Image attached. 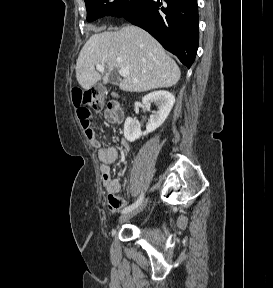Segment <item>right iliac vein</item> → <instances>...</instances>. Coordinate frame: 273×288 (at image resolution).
Masks as SVG:
<instances>
[{
    "label": "right iliac vein",
    "instance_id": "63e3f726",
    "mask_svg": "<svg viewBox=\"0 0 273 288\" xmlns=\"http://www.w3.org/2000/svg\"><path fill=\"white\" fill-rule=\"evenodd\" d=\"M146 204H147V200H145L143 203H141L135 209L124 213L120 218V223H124V222L128 221L129 219H131L132 217H134L135 215L139 214L144 209Z\"/></svg>",
    "mask_w": 273,
    "mask_h": 288
}]
</instances>
